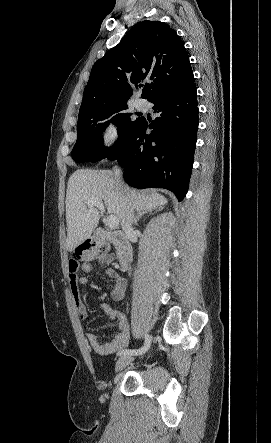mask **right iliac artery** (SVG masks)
Returning a JSON list of instances; mask_svg holds the SVG:
<instances>
[{
    "instance_id": "82829eb1",
    "label": "right iliac artery",
    "mask_w": 271,
    "mask_h": 443,
    "mask_svg": "<svg viewBox=\"0 0 271 443\" xmlns=\"http://www.w3.org/2000/svg\"><path fill=\"white\" fill-rule=\"evenodd\" d=\"M150 344H151V336L146 334L144 346H142L139 349H123V350L118 351L117 355L118 356H121V355H142L149 349Z\"/></svg>"
}]
</instances>
